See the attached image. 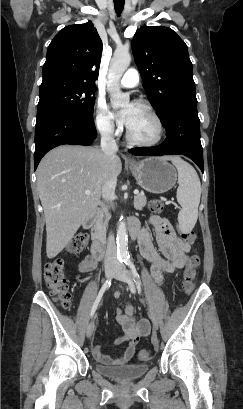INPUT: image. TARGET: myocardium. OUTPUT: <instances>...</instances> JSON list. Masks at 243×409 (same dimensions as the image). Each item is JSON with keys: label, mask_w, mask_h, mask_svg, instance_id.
I'll return each mask as SVG.
<instances>
[{"label": "myocardium", "mask_w": 243, "mask_h": 409, "mask_svg": "<svg viewBox=\"0 0 243 409\" xmlns=\"http://www.w3.org/2000/svg\"><path fill=\"white\" fill-rule=\"evenodd\" d=\"M134 104L138 105V106H142L143 108H145L150 116L152 117V119L154 120L155 124H156V129H157V134L155 136V138L151 139V140H143V139H139L136 138L132 135V133L130 132L129 128L127 127L126 130V136L129 142L136 144V145H140V146H155L158 145L164 137V125L163 122L160 118V116L158 115V113L156 112V110L153 108V106L145 101V100H136L134 102Z\"/></svg>", "instance_id": "obj_1"}]
</instances>
